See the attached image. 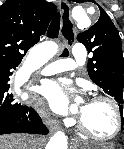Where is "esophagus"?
Returning a JSON list of instances; mask_svg holds the SVG:
<instances>
[{"label": "esophagus", "mask_w": 124, "mask_h": 149, "mask_svg": "<svg viewBox=\"0 0 124 149\" xmlns=\"http://www.w3.org/2000/svg\"><path fill=\"white\" fill-rule=\"evenodd\" d=\"M59 10L61 13V27H60V36L64 42L65 47H70L76 37V33L73 27V21L71 19V7L68 1L60 0L59 1ZM49 126L51 131L57 129V125L54 121H49Z\"/></svg>", "instance_id": "obj_1"}]
</instances>
